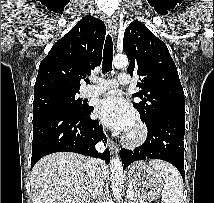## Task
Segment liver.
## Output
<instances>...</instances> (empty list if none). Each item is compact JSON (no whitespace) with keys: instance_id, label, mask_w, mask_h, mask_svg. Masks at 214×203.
Returning a JSON list of instances; mask_svg holds the SVG:
<instances>
[{"instance_id":"1","label":"liver","mask_w":214,"mask_h":203,"mask_svg":"<svg viewBox=\"0 0 214 203\" xmlns=\"http://www.w3.org/2000/svg\"><path fill=\"white\" fill-rule=\"evenodd\" d=\"M88 159L72 152L43 157L31 172L33 203H90Z\"/></svg>"}]
</instances>
